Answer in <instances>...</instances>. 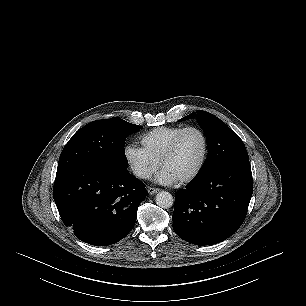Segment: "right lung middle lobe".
<instances>
[{"label": "right lung middle lobe", "instance_id": "1", "mask_svg": "<svg viewBox=\"0 0 306 306\" xmlns=\"http://www.w3.org/2000/svg\"><path fill=\"white\" fill-rule=\"evenodd\" d=\"M141 126L118 117L97 120L79 129L64 147L58 162L57 176L84 166L127 168L124 142Z\"/></svg>", "mask_w": 306, "mask_h": 306}]
</instances>
